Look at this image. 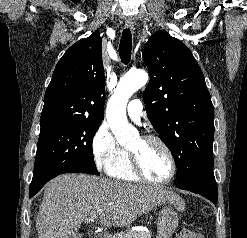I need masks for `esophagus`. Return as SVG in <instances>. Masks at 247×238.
<instances>
[{"label": "esophagus", "mask_w": 247, "mask_h": 238, "mask_svg": "<svg viewBox=\"0 0 247 238\" xmlns=\"http://www.w3.org/2000/svg\"><path fill=\"white\" fill-rule=\"evenodd\" d=\"M125 26L128 28V29H133L134 27V22L130 19L126 20L125 21Z\"/></svg>", "instance_id": "1"}]
</instances>
